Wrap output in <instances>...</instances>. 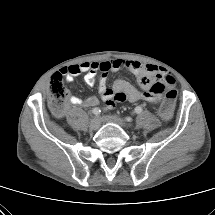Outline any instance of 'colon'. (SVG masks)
Returning <instances> with one entry per match:
<instances>
[{"instance_id":"5ec220e1","label":"colon","mask_w":215,"mask_h":215,"mask_svg":"<svg viewBox=\"0 0 215 215\" xmlns=\"http://www.w3.org/2000/svg\"><path fill=\"white\" fill-rule=\"evenodd\" d=\"M174 79L171 76L164 77V83H155L152 90L154 92L162 93L165 85L168 89L164 95V98L159 106V122L161 124H170L172 122V110L174 108L177 91L172 87ZM49 104L50 108L56 115H61L65 108L66 99L68 96V90L64 85L62 75L55 73L49 82Z\"/></svg>"}]
</instances>
